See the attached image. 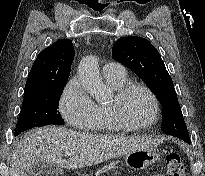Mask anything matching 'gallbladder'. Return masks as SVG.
I'll return each instance as SVG.
<instances>
[{"label":"gallbladder","instance_id":"gallbladder-1","mask_svg":"<svg viewBox=\"0 0 205 176\" xmlns=\"http://www.w3.org/2000/svg\"><path fill=\"white\" fill-rule=\"evenodd\" d=\"M28 176H63V170L52 163L37 162L29 168Z\"/></svg>","mask_w":205,"mask_h":176}]
</instances>
